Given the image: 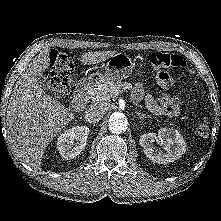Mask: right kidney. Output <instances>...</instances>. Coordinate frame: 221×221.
I'll return each mask as SVG.
<instances>
[{"instance_id": "right-kidney-1", "label": "right kidney", "mask_w": 221, "mask_h": 221, "mask_svg": "<svg viewBox=\"0 0 221 221\" xmlns=\"http://www.w3.org/2000/svg\"><path fill=\"white\" fill-rule=\"evenodd\" d=\"M87 126H76L65 130L57 139V150L64 159L78 156L86 146L89 135Z\"/></svg>"}]
</instances>
